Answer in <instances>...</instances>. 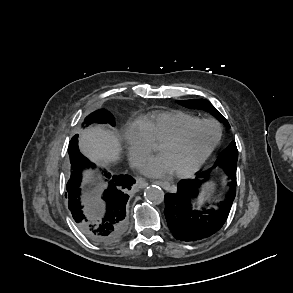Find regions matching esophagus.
<instances>
[{
	"label": "esophagus",
	"mask_w": 293,
	"mask_h": 293,
	"mask_svg": "<svg viewBox=\"0 0 293 293\" xmlns=\"http://www.w3.org/2000/svg\"><path fill=\"white\" fill-rule=\"evenodd\" d=\"M155 183L158 184V185L164 186L165 188L169 187V184L166 183V182L156 181ZM147 185H148V183L145 180H143L142 178H137V186H138V188L143 189Z\"/></svg>",
	"instance_id": "1"
}]
</instances>
